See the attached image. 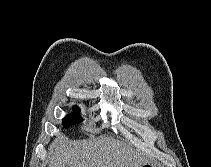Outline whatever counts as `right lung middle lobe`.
<instances>
[{"instance_id": "dd1d6c3e", "label": "right lung middle lobe", "mask_w": 211, "mask_h": 167, "mask_svg": "<svg viewBox=\"0 0 211 167\" xmlns=\"http://www.w3.org/2000/svg\"><path fill=\"white\" fill-rule=\"evenodd\" d=\"M74 108H77L76 106H74ZM78 111H80L79 108H77ZM82 121V118L80 117V115L78 114H70L67 117H65L63 119V125L68 128L69 126L73 125V124H77L80 123Z\"/></svg>"}]
</instances>
